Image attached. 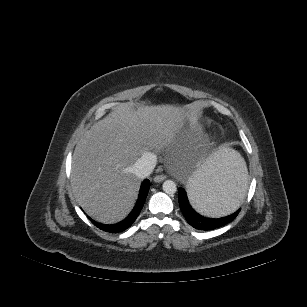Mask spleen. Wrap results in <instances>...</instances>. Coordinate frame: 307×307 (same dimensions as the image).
I'll return each mask as SVG.
<instances>
[{
	"mask_svg": "<svg viewBox=\"0 0 307 307\" xmlns=\"http://www.w3.org/2000/svg\"><path fill=\"white\" fill-rule=\"evenodd\" d=\"M248 174L240 155L226 146L209 150L188 184L192 206L201 214L220 217L234 212L248 198Z\"/></svg>",
	"mask_w": 307,
	"mask_h": 307,
	"instance_id": "obj_1",
	"label": "spleen"
}]
</instances>
